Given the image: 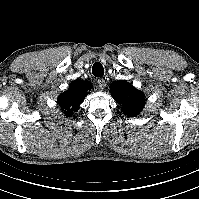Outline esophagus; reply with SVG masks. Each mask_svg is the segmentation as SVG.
<instances>
[{
	"instance_id": "34e87169",
	"label": "esophagus",
	"mask_w": 199,
	"mask_h": 199,
	"mask_svg": "<svg viewBox=\"0 0 199 199\" xmlns=\"http://www.w3.org/2000/svg\"><path fill=\"white\" fill-rule=\"evenodd\" d=\"M97 83L99 88L102 90L106 87V81L103 78L98 79Z\"/></svg>"
}]
</instances>
